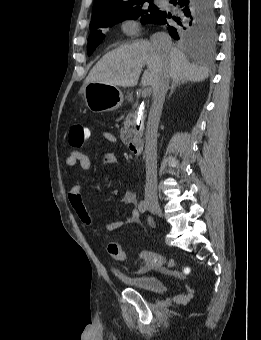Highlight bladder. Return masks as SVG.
Instances as JSON below:
<instances>
[{
  "label": "bladder",
  "instance_id": "bladder-1",
  "mask_svg": "<svg viewBox=\"0 0 261 340\" xmlns=\"http://www.w3.org/2000/svg\"><path fill=\"white\" fill-rule=\"evenodd\" d=\"M119 280L129 287L150 293H163L166 291V284L163 279L156 275L147 276H126L117 274Z\"/></svg>",
  "mask_w": 261,
  "mask_h": 340
}]
</instances>
